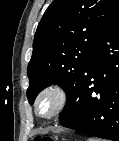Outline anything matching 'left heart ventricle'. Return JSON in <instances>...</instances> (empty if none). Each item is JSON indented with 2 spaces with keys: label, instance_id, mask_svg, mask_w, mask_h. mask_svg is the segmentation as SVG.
<instances>
[{
  "label": "left heart ventricle",
  "instance_id": "obj_1",
  "mask_svg": "<svg viewBox=\"0 0 119 141\" xmlns=\"http://www.w3.org/2000/svg\"><path fill=\"white\" fill-rule=\"evenodd\" d=\"M53 108V99L50 97L44 98L39 105V112L42 115L48 114Z\"/></svg>",
  "mask_w": 119,
  "mask_h": 141
}]
</instances>
